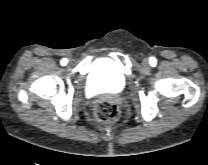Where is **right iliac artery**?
Returning a JSON list of instances; mask_svg holds the SVG:
<instances>
[{"instance_id":"obj_1","label":"right iliac artery","mask_w":208,"mask_h":165,"mask_svg":"<svg viewBox=\"0 0 208 165\" xmlns=\"http://www.w3.org/2000/svg\"><path fill=\"white\" fill-rule=\"evenodd\" d=\"M67 62H68V60L66 59V58H63L62 60H61V65H66L67 64Z\"/></svg>"}]
</instances>
